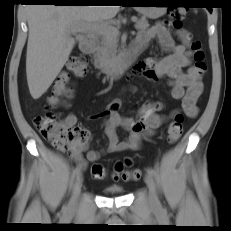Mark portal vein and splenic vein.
<instances>
[{"label": "portal vein and splenic vein", "instance_id": "obj_1", "mask_svg": "<svg viewBox=\"0 0 231 231\" xmlns=\"http://www.w3.org/2000/svg\"><path fill=\"white\" fill-rule=\"evenodd\" d=\"M131 20L132 22H136V18H132ZM87 30H91L101 35H113V36L119 35V30L116 27L109 25L107 23H94L91 25H85L82 28L71 29L70 32L76 33L78 31H87Z\"/></svg>", "mask_w": 231, "mask_h": 231}]
</instances>
